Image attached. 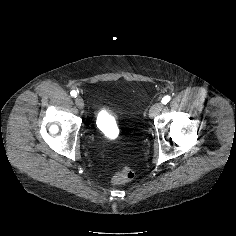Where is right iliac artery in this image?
Listing matches in <instances>:
<instances>
[{"label": "right iliac artery", "mask_w": 236, "mask_h": 236, "mask_svg": "<svg viewBox=\"0 0 236 236\" xmlns=\"http://www.w3.org/2000/svg\"><path fill=\"white\" fill-rule=\"evenodd\" d=\"M71 96H73V97H77V92L75 91V90H73V91H71Z\"/></svg>", "instance_id": "1"}]
</instances>
